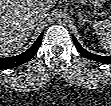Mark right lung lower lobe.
<instances>
[{
	"mask_svg": "<svg viewBox=\"0 0 111 106\" xmlns=\"http://www.w3.org/2000/svg\"><path fill=\"white\" fill-rule=\"evenodd\" d=\"M42 38L43 33H41L35 43L22 54L13 57L0 58V68H13L29 61L39 49Z\"/></svg>",
	"mask_w": 111,
	"mask_h": 106,
	"instance_id": "98d812e1",
	"label": "right lung lower lobe"
}]
</instances>
